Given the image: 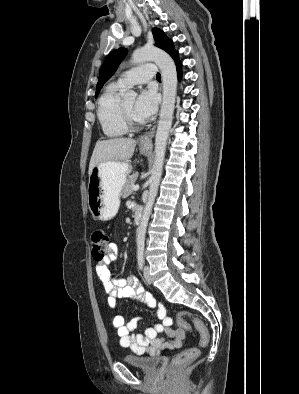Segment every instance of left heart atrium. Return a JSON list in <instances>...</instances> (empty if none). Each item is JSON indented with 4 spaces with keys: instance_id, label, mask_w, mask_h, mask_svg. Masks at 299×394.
Masks as SVG:
<instances>
[{
    "instance_id": "39dd6f15",
    "label": "left heart atrium",
    "mask_w": 299,
    "mask_h": 394,
    "mask_svg": "<svg viewBox=\"0 0 299 394\" xmlns=\"http://www.w3.org/2000/svg\"><path fill=\"white\" fill-rule=\"evenodd\" d=\"M158 106L156 93L152 89L143 90L137 97L134 105V113L140 121L152 117Z\"/></svg>"
}]
</instances>
